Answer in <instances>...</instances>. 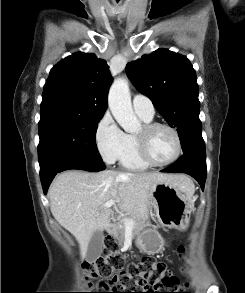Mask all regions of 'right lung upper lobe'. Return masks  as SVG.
<instances>
[{
  "label": "right lung upper lobe",
  "mask_w": 245,
  "mask_h": 293,
  "mask_svg": "<svg viewBox=\"0 0 245 293\" xmlns=\"http://www.w3.org/2000/svg\"><path fill=\"white\" fill-rule=\"evenodd\" d=\"M112 77L106 61L78 52L54 66L44 85L41 113L103 116Z\"/></svg>",
  "instance_id": "1"
}]
</instances>
